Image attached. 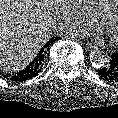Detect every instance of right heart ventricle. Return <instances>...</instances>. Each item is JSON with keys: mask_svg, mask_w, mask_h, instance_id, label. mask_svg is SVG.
Wrapping results in <instances>:
<instances>
[{"mask_svg": "<svg viewBox=\"0 0 118 118\" xmlns=\"http://www.w3.org/2000/svg\"><path fill=\"white\" fill-rule=\"evenodd\" d=\"M86 11L94 18L100 19L113 0H80Z\"/></svg>", "mask_w": 118, "mask_h": 118, "instance_id": "1", "label": "right heart ventricle"}]
</instances>
